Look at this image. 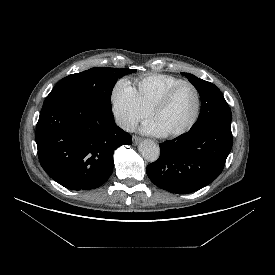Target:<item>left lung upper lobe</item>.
I'll return each instance as SVG.
<instances>
[{"label":"left lung upper lobe","instance_id":"1","mask_svg":"<svg viewBox=\"0 0 275 275\" xmlns=\"http://www.w3.org/2000/svg\"><path fill=\"white\" fill-rule=\"evenodd\" d=\"M195 86L201 97V111L192 129L217 123H230L231 110L221 91L212 83L189 73H182Z\"/></svg>","mask_w":275,"mask_h":275}]
</instances>
